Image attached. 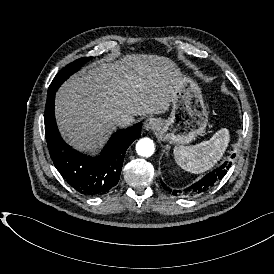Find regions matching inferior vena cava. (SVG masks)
Listing matches in <instances>:
<instances>
[{"instance_id": "602c4592", "label": "inferior vena cava", "mask_w": 274, "mask_h": 274, "mask_svg": "<svg viewBox=\"0 0 274 274\" xmlns=\"http://www.w3.org/2000/svg\"><path fill=\"white\" fill-rule=\"evenodd\" d=\"M135 122V118L130 114H122L120 119L117 120V124L119 127L129 126Z\"/></svg>"}]
</instances>
